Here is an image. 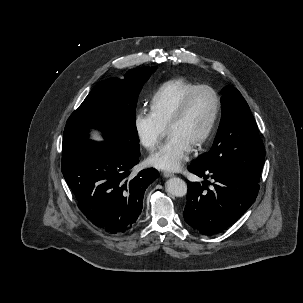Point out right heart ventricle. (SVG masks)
<instances>
[{
  "instance_id": "1",
  "label": "right heart ventricle",
  "mask_w": 303,
  "mask_h": 303,
  "mask_svg": "<svg viewBox=\"0 0 303 303\" xmlns=\"http://www.w3.org/2000/svg\"><path fill=\"white\" fill-rule=\"evenodd\" d=\"M196 86V83L184 78L165 81L156 89L150 99L151 113L166 126L183 97Z\"/></svg>"
}]
</instances>
